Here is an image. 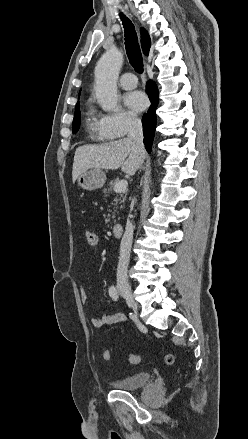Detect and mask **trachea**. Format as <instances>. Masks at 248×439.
Masks as SVG:
<instances>
[{"mask_svg":"<svg viewBox=\"0 0 248 439\" xmlns=\"http://www.w3.org/2000/svg\"><path fill=\"white\" fill-rule=\"evenodd\" d=\"M125 31V49L131 65L138 73L143 72V59L138 43L137 33L132 22L123 14H120Z\"/></svg>","mask_w":248,"mask_h":439,"instance_id":"obj_1","label":"trachea"}]
</instances>
